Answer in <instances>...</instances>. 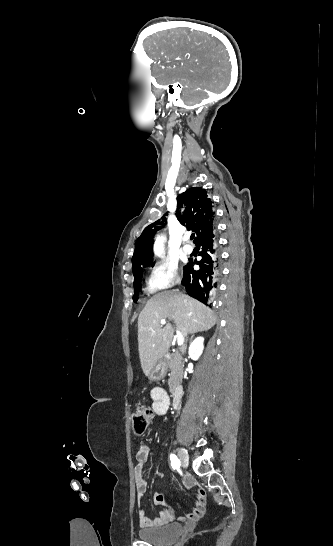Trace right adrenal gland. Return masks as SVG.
<instances>
[{"instance_id":"2a0ac1e0","label":"right adrenal gland","mask_w":333,"mask_h":546,"mask_svg":"<svg viewBox=\"0 0 333 546\" xmlns=\"http://www.w3.org/2000/svg\"><path fill=\"white\" fill-rule=\"evenodd\" d=\"M194 338V335L191 336V340Z\"/></svg>"}]
</instances>
